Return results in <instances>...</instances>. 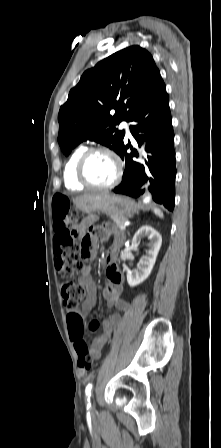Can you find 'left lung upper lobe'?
Listing matches in <instances>:
<instances>
[{"mask_svg": "<svg viewBox=\"0 0 221 448\" xmlns=\"http://www.w3.org/2000/svg\"><path fill=\"white\" fill-rule=\"evenodd\" d=\"M164 87L151 54L137 45L86 70L59 111L58 142L63 153L68 156L79 143L92 140L119 154L125 132L115 126L132 121L146 101Z\"/></svg>", "mask_w": 221, "mask_h": 448, "instance_id": "5c2ea615", "label": "left lung upper lobe"}]
</instances>
